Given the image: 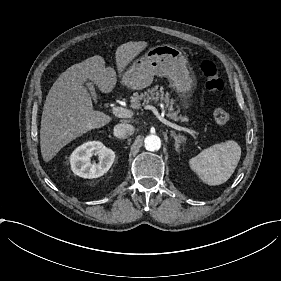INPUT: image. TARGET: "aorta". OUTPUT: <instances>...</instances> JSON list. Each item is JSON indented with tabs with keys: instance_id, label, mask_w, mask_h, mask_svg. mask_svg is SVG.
<instances>
[{
	"instance_id": "762f6f07",
	"label": "aorta",
	"mask_w": 281,
	"mask_h": 281,
	"mask_svg": "<svg viewBox=\"0 0 281 281\" xmlns=\"http://www.w3.org/2000/svg\"><path fill=\"white\" fill-rule=\"evenodd\" d=\"M144 145L148 151H157L161 147V140L157 135H148L144 139Z\"/></svg>"
}]
</instances>
